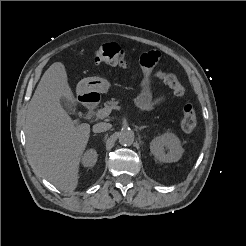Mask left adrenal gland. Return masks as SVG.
Here are the masks:
<instances>
[{
	"label": "left adrenal gland",
	"mask_w": 246,
	"mask_h": 246,
	"mask_svg": "<svg viewBox=\"0 0 246 246\" xmlns=\"http://www.w3.org/2000/svg\"><path fill=\"white\" fill-rule=\"evenodd\" d=\"M146 127H147L146 125H143V126L139 127V130H142V129L146 128Z\"/></svg>",
	"instance_id": "obj_1"
}]
</instances>
